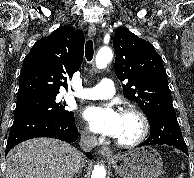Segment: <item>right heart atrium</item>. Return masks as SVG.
Listing matches in <instances>:
<instances>
[{"label":"right heart atrium","mask_w":194,"mask_h":178,"mask_svg":"<svg viewBox=\"0 0 194 178\" xmlns=\"http://www.w3.org/2000/svg\"><path fill=\"white\" fill-rule=\"evenodd\" d=\"M81 134L83 139H85L86 141H94L95 139L93 133L88 128H84Z\"/></svg>","instance_id":"1"}]
</instances>
